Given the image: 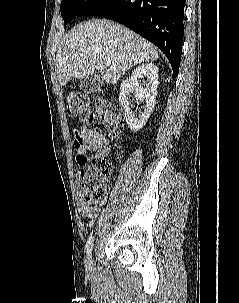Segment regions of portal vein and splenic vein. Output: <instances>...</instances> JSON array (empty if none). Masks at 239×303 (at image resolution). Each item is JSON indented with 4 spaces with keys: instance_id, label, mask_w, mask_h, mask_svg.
Wrapping results in <instances>:
<instances>
[{
    "instance_id": "portal-vein-and-splenic-vein-1",
    "label": "portal vein and splenic vein",
    "mask_w": 239,
    "mask_h": 303,
    "mask_svg": "<svg viewBox=\"0 0 239 303\" xmlns=\"http://www.w3.org/2000/svg\"><path fill=\"white\" fill-rule=\"evenodd\" d=\"M105 62H106V63H110V61H109V60H107V59L105 60Z\"/></svg>"
}]
</instances>
